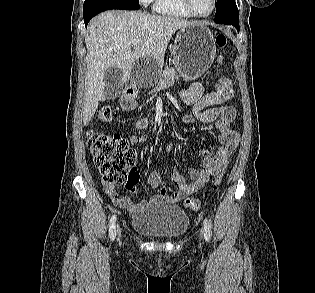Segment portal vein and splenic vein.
Listing matches in <instances>:
<instances>
[{
  "instance_id": "1",
  "label": "portal vein and splenic vein",
  "mask_w": 315,
  "mask_h": 293,
  "mask_svg": "<svg viewBox=\"0 0 315 293\" xmlns=\"http://www.w3.org/2000/svg\"><path fill=\"white\" fill-rule=\"evenodd\" d=\"M139 44V41H135L134 43H133V46H137Z\"/></svg>"
}]
</instances>
